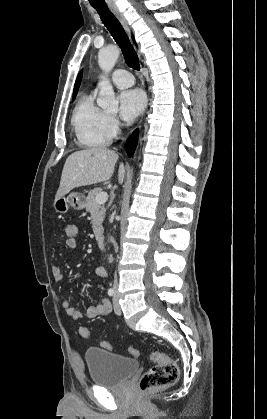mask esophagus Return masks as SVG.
Returning <instances> with one entry per match:
<instances>
[{"label":"esophagus","instance_id":"obj_1","mask_svg":"<svg viewBox=\"0 0 267 419\" xmlns=\"http://www.w3.org/2000/svg\"><path fill=\"white\" fill-rule=\"evenodd\" d=\"M111 10L114 13V15L118 18V20L121 22V24L123 25L125 30L129 33L130 28H129V25H128L127 20L125 19L124 15L119 11V9L116 6H112ZM140 126H141V123H140L139 127Z\"/></svg>","mask_w":267,"mask_h":419}]
</instances>
